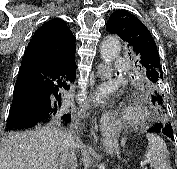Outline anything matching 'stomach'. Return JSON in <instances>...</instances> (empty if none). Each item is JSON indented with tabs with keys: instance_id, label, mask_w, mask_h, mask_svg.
Listing matches in <instances>:
<instances>
[{
	"instance_id": "obj_1",
	"label": "stomach",
	"mask_w": 177,
	"mask_h": 169,
	"mask_svg": "<svg viewBox=\"0 0 177 169\" xmlns=\"http://www.w3.org/2000/svg\"><path fill=\"white\" fill-rule=\"evenodd\" d=\"M106 150L109 153H114L116 151V147L113 144L108 143V144H106Z\"/></svg>"
}]
</instances>
